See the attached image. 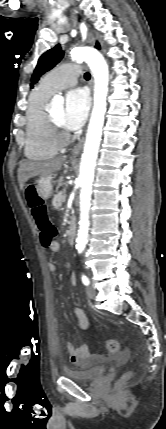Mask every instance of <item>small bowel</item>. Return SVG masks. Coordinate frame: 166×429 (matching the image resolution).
Returning a JSON list of instances; mask_svg holds the SVG:
<instances>
[{"mask_svg": "<svg viewBox=\"0 0 166 429\" xmlns=\"http://www.w3.org/2000/svg\"><path fill=\"white\" fill-rule=\"evenodd\" d=\"M48 248L57 252L60 248V244L57 240H54ZM50 272L55 273L57 271V266L55 263L50 262L48 264ZM70 282L73 286L76 285V276L72 274L70 276ZM74 313L78 319L79 325L82 329L87 330L90 327L89 320L83 310L79 307H74ZM70 361L81 367H89L93 364L99 363L102 361V357L95 355L88 346L82 345L80 347H75L72 343H67L66 345Z\"/></svg>", "mask_w": 166, "mask_h": 429, "instance_id": "obj_1", "label": "small bowel"}]
</instances>
